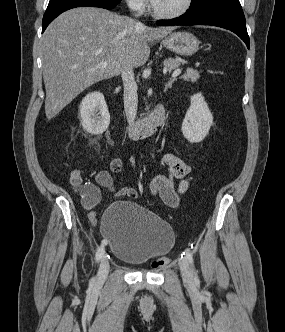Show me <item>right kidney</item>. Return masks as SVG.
<instances>
[{
    "mask_svg": "<svg viewBox=\"0 0 285 332\" xmlns=\"http://www.w3.org/2000/svg\"><path fill=\"white\" fill-rule=\"evenodd\" d=\"M79 114L83 129L91 135L102 134L110 124V114L100 92L86 95L80 104Z\"/></svg>",
    "mask_w": 285,
    "mask_h": 332,
    "instance_id": "ca27d5eb",
    "label": "right kidney"
}]
</instances>
